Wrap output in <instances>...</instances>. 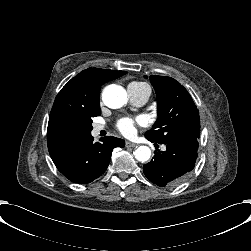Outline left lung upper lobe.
Instances as JSON below:
<instances>
[{
    "label": "left lung upper lobe",
    "mask_w": 251,
    "mask_h": 251,
    "mask_svg": "<svg viewBox=\"0 0 251 251\" xmlns=\"http://www.w3.org/2000/svg\"><path fill=\"white\" fill-rule=\"evenodd\" d=\"M157 94L158 120L145 136L160 144L200 138L199 111L187 90L175 79L150 76Z\"/></svg>",
    "instance_id": "5c2ea615"
}]
</instances>
